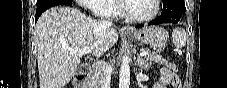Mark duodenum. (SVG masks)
Wrapping results in <instances>:
<instances>
[{
	"label": "duodenum",
	"mask_w": 227,
	"mask_h": 88,
	"mask_svg": "<svg viewBox=\"0 0 227 88\" xmlns=\"http://www.w3.org/2000/svg\"><path fill=\"white\" fill-rule=\"evenodd\" d=\"M89 75L90 68L87 64H84L79 68L74 78V82L79 86V88H86Z\"/></svg>",
	"instance_id": "410a0bca"
}]
</instances>
